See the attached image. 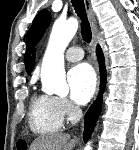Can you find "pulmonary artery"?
<instances>
[{"instance_id":"pulmonary-artery-1","label":"pulmonary artery","mask_w":139,"mask_h":150,"mask_svg":"<svg viewBox=\"0 0 139 150\" xmlns=\"http://www.w3.org/2000/svg\"><path fill=\"white\" fill-rule=\"evenodd\" d=\"M83 56H84V52L82 48L78 46L70 47L65 54L66 59L70 62L79 61L83 58Z\"/></svg>"}]
</instances>
